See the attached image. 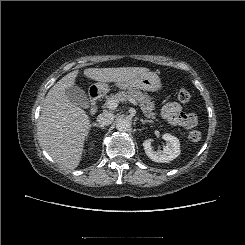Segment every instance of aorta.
Here are the masks:
<instances>
[{"label":"aorta","instance_id":"aorta-1","mask_svg":"<svg viewBox=\"0 0 245 245\" xmlns=\"http://www.w3.org/2000/svg\"><path fill=\"white\" fill-rule=\"evenodd\" d=\"M116 128L120 132H127L131 129V122L126 118H120L116 123Z\"/></svg>","mask_w":245,"mask_h":245}]
</instances>
